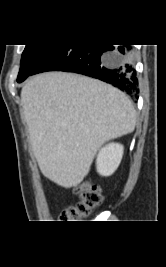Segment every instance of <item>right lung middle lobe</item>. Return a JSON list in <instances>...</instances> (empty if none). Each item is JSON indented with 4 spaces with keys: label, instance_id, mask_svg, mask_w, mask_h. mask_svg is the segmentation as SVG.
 I'll list each match as a JSON object with an SVG mask.
<instances>
[{
    "label": "right lung middle lobe",
    "instance_id": "right-lung-middle-lobe-1",
    "mask_svg": "<svg viewBox=\"0 0 166 267\" xmlns=\"http://www.w3.org/2000/svg\"><path fill=\"white\" fill-rule=\"evenodd\" d=\"M54 47V44L26 45L21 58L17 82L20 83L30 76L38 64Z\"/></svg>",
    "mask_w": 166,
    "mask_h": 267
}]
</instances>
